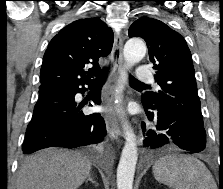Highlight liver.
<instances>
[{
  "label": "liver",
  "mask_w": 223,
  "mask_h": 189,
  "mask_svg": "<svg viewBox=\"0 0 223 189\" xmlns=\"http://www.w3.org/2000/svg\"><path fill=\"white\" fill-rule=\"evenodd\" d=\"M91 161L79 152L49 148L21 165L17 189H77L88 177Z\"/></svg>",
  "instance_id": "6515ba94"
}]
</instances>
